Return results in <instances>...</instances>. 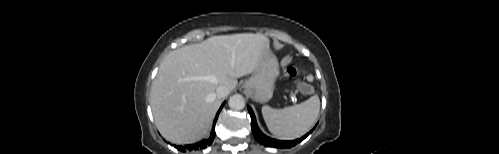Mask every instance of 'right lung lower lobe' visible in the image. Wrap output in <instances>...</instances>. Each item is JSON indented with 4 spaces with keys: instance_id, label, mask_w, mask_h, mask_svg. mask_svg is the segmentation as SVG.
<instances>
[{
    "instance_id": "right-lung-lower-lobe-1",
    "label": "right lung lower lobe",
    "mask_w": 499,
    "mask_h": 154,
    "mask_svg": "<svg viewBox=\"0 0 499 154\" xmlns=\"http://www.w3.org/2000/svg\"><path fill=\"white\" fill-rule=\"evenodd\" d=\"M223 106H224V103L222 104V106L220 107V109H219V111H218V113H217V115H216V118H215V120H214V123H213V128H212L211 135H210V138H209V139L203 140V141H201V142H199V143H197V144L187 145V146H185V147H184V146H176V145H174V147H175V148H177V149H178V150H180V151L185 152L186 150H192V149H196V148H198V147H200L201 149H204V148H206L208 145H210V144L213 142L214 137H215V123H216V120H217V118H218V115H219V113H220L221 109L223 108Z\"/></svg>"
}]
</instances>
